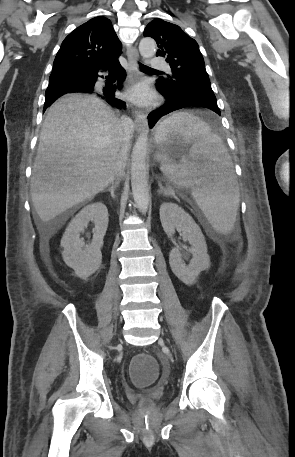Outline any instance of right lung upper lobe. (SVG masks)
Returning a JSON list of instances; mask_svg holds the SVG:
<instances>
[{
  "instance_id": "obj_1",
  "label": "right lung upper lobe",
  "mask_w": 295,
  "mask_h": 457,
  "mask_svg": "<svg viewBox=\"0 0 295 457\" xmlns=\"http://www.w3.org/2000/svg\"><path fill=\"white\" fill-rule=\"evenodd\" d=\"M121 54L119 41L109 19L99 16L72 31L55 57L51 76L81 75Z\"/></svg>"
}]
</instances>
